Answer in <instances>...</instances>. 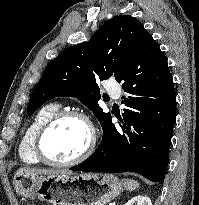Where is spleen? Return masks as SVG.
Masks as SVG:
<instances>
[{
	"instance_id": "obj_1",
	"label": "spleen",
	"mask_w": 199,
	"mask_h": 205,
	"mask_svg": "<svg viewBox=\"0 0 199 205\" xmlns=\"http://www.w3.org/2000/svg\"><path fill=\"white\" fill-rule=\"evenodd\" d=\"M123 185L129 191H134L139 187V183L133 179H124Z\"/></svg>"
}]
</instances>
